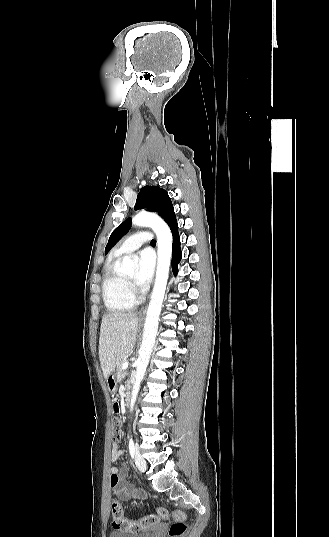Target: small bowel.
Listing matches in <instances>:
<instances>
[{"instance_id":"c3829d8e","label":"small bowel","mask_w":329,"mask_h":537,"mask_svg":"<svg viewBox=\"0 0 329 537\" xmlns=\"http://www.w3.org/2000/svg\"><path fill=\"white\" fill-rule=\"evenodd\" d=\"M112 404V412L114 414H117L124 409L123 401L119 397L114 398ZM122 455L123 450L117 443H113L111 450L112 461H118ZM127 474L128 469L125 465L113 466L111 468L110 482L113 487V493L116 495L114 496V499H118L119 497L121 500L127 501L137 494L135 487L126 480Z\"/></svg>"}]
</instances>
